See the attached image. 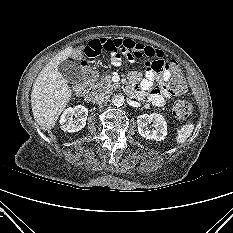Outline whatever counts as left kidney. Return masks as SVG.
<instances>
[{
  "label": "left kidney",
  "mask_w": 233,
  "mask_h": 233,
  "mask_svg": "<svg viewBox=\"0 0 233 233\" xmlns=\"http://www.w3.org/2000/svg\"><path fill=\"white\" fill-rule=\"evenodd\" d=\"M149 126V124H151ZM138 132L145 139L164 140L167 135V124L164 117L158 113L142 114L137 117Z\"/></svg>",
  "instance_id": "1"
}]
</instances>
